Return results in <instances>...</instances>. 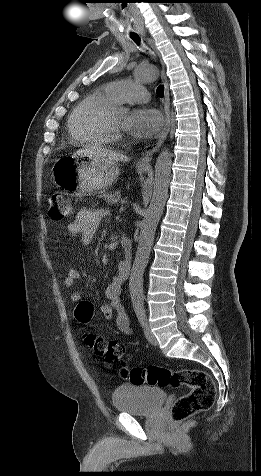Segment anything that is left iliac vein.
I'll return each instance as SVG.
<instances>
[{
  "mask_svg": "<svg viewBox=\"0 0 261 476\" xmlns=\"http://www.w3.org/2000/svg\"><path fill=\"white\" fill-rule=\"evenodd\" d=\"M144 334L149 343H151L152 345H157V339L152 333L148 322H146L144 325Z\"/></svg>",
  "mask_w": 261,
  "mask_h": 476,
  "instance_id": "4c4485c4",
  "label": "left iliac vein"
}]
</instances>
